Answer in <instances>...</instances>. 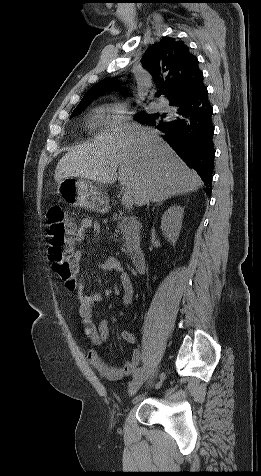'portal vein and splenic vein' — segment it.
<instances>
[{"label": "portal vein and splenic vein", "mask_w": 261, "mask_h": 476, "mask_svg": "<svg viewBox=\"0 0 261 476\" xmlns=\"http://www.w3.org/2000/svg\"><path fill=\"white\" fill-rule=\"evenodd\" d=\"M121 202L125 208H131L134 204L132 194L125 190Z\"/></svg>", "instance_id": "18ae733b"}]
</instances>
